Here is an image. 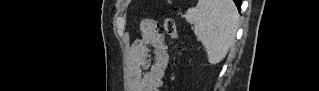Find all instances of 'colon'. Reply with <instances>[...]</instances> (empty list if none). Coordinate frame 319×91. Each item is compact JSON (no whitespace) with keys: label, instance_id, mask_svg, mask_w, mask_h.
<instances>
[{"label":"colon","instance_id":"1","mask_svg":"<svg viewBox=\"0 0 319 91\" xmlns=\"http://www.w3.org/2000/svg\"><path fill=\"white\" fill-rule=\"evenodd\" d=\"M164 28L166 33L170 36V38L175 39L177 36V27H176V21L170 17L167 16L164 21Z\"/></svg>","mask_w":319,"mask_h":91}]
</instances>
